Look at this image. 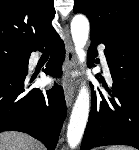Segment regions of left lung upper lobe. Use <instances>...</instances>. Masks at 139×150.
<instances>
[{"label": "left lung upper lobe", "instance_id": "obj_1", "mask_svg": "<svg viewBox=\"0 0 139 150\" xmlns=\"http://www.w3.org/2000/svg\"><path fill=\"white\" fill-rule=\"evenodd\" d=\"M73 11L88 17L90 34L107 46L139 32V0H75Z\"/></svg>", "mask_w": 139, "mask_h": 150}]
</instances>
